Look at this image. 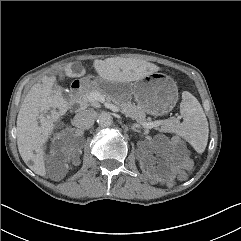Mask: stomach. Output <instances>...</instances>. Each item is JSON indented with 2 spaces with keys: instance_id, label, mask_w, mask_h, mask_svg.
<instances>
[{
  "instance_id": "stomach-1",
  "label": "stomach",
  "mask_w": 241,
  "mask_h": 241,
  "mask_svg": "<svg viewBox=\"0 0 241 241\" xmlns=\"http://www.w3.org/2000/svg\"><path fill=\"white\" fill-rule=\"evenodd\" d=\"M84 87H97L106 95L119 100L133 96L136 106L151 116H161L170 112L178 100V88L168 75L154 72L134 83L109 82L96 77L82 78Z\"/></svg>"
}]
</instances>
